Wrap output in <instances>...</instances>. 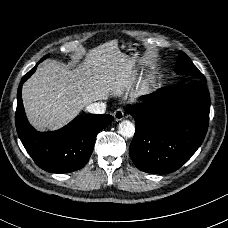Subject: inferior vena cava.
I'll return each instance as SVG.
<instances>
[{"instance_id":"obj_1","label":"inferior vena cava","mask_w":228,"mask_h":228,"mask_svg":"<svg viewBox=\"0 0 228 228\" xmlns=\"http://www.w3.org/2000/svg\"><path fill=\"white\" fill-rule=\"evenodd\" d=\"M86 111L92 114H104L106 111V105L101 102H94L86 107Z\"/></svg>"}]
</instances>
